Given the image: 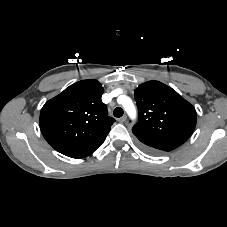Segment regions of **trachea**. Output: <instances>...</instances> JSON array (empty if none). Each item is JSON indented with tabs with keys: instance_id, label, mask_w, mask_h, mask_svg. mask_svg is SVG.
<instances>
[{
	"instance_id": "1",
	"label": "trachea",
	"mask_w": 227,
	"mask_h": 227,
	"mask_svg": "<svg viewBox=\"0 0 227 227\" xmlns=\"http://www.w3.org/2000/svg\"><path fill=\"white\" fill-rule=\"evenodd\" d=\"M114 116L119 118L123 115V109L121 107H116L113 112Z\"/></svg>"
}]
</instances>
